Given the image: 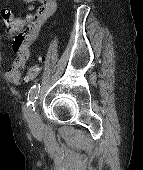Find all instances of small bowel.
Masks as SVG:
<instances>
[{
    "label": "small bowel",
    "mask_w": 143,
    "mask_h": 170,
    "mask_svg": "<svg viewBox=\"0 0 143 170\" xmlns=\"http://www.w3.org/2000/svg\"><path fill=\"white\" fill-rule=\"evenodd\" d=\"M26 3H40V7L36 10L33 16H29L27 20L14 17L10 9L2 10V18L10 33H16L24 29V32L16 36L12 41V50L15 55L10 60V66L5 73L6 79L13 84H19L22 81L24 71L30 57V48L41 29L52 17L56 10V0H23ZM10 15L11 21L17 23V26H10L4 14ZM29 24L27 25V23Z\"/></svg>",
    "instance_id": "obj_1"
}]
</instances>
